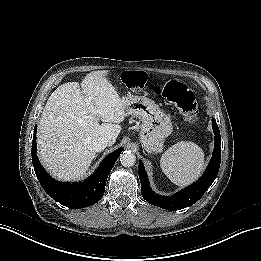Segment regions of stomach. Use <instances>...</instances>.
Wrapping results in <instances>:
<instances>
[{"label": "stomach", "instance_id": "0dacf381", "mask_svg": "<svg viewBox=\"0 0 261 261\" xmlns=\"http://www.w3.org/2000/svg\"><path fill=\"white\" fill-rule=\"evenodd\" d=\"M127 115L141 120L140 142L148 153H158L164 148L165 139L173 126L170 117L152 100L141 96L123 97Z\"/></svg>", "mask_w": 261, "mask_h": 261}]
</instances>
